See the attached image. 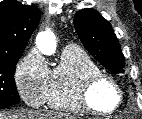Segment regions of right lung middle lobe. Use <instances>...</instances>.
<instances>
[{
    "mask_svg": "<svg viewBox=\"0 0 142 119\" xmlns=\"http://www.w3.org/2000/svg\"><path fill=\"white\" fill-rule=\"evenodd\" d=\"M22 54L0 57V108H7L19 101L14 74Z\"/></svg>",
    "mask_w": 142,
    "mask_h": 119,
    "instance_id": "right-lung-middle-lobe-1",
    "label": "right lung middle lobe"
}]
</instances>
